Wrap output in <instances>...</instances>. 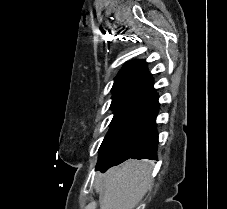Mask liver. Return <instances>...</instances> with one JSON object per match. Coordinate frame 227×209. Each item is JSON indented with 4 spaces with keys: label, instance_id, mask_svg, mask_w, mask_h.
I'll use <instances>...</instances> for the list:
<instances>
[{
    "label": "liver",
    "instance_id": "6515ba94",
    "mask_svg": "<svg viewBox=\"0 0 227 209\" xmlns=\"http://www.w3.org/2000/svg\"><path fill=\"white\" fill-rule=\"evenodd\" d=\"M152 165L143 161H125L107 173H96L95 191L103 197L100 209H134L151 189Z\"/></svg>",
    "mask_w": 227,
    "mask_h": 209
}]
</instances>
